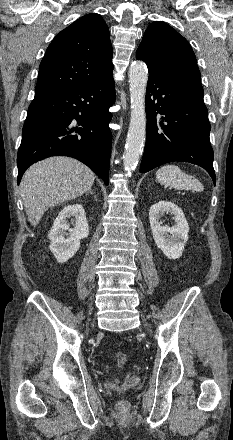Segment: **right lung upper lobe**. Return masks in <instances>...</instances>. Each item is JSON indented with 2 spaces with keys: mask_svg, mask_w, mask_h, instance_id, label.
I'll list each match as a JSON object with an SVG mask.
<instances>
[{
  "mask_svg": "<svg viewBox=\"0 0 233 440\" xmlns=\"http://www.w3.org/2000/svg\"><path fill=\"white\" fill-rule=\"evenodd\" d=\"M109 29L99 14H87L50 43L39 67L35 95L82 87L112 74Z\"/></svg>",
  "mask_w": 233,
  "mask_h": 440,
  "instance_id": "right-lung-upper-lobe-1",
  "label": "right lung upper lobe"
}]
</instances>
